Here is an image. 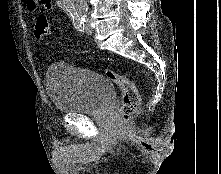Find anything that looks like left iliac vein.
I'll return each instance as SVG.
<instances>
[{"label":"left iliac vein","instance_id":"obj_1","mask_svg":"<svg viewBox=\"0 0 221 174\" xmlns=\"http://www.w3.org/2000/svg\"><path fill=\"white\" fill-rule=\"evenodd\" d=\"M85 32L87 33V34H92V32H93V29H92V27H91V25L89 24V22H87L86 21V24H85Z\"/></svg>","mask_w":221,"mask_h":174}]
</instances>
